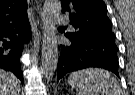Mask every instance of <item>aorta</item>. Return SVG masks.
Masks as SVG:
<instances>
[{
  "label": "aorta",
  "mask_w": 135,
  "mask_h": 95,
  "mask_svg": "<svg viewBox=\"0 0 135 95\" xmlns=\"http://www.w3.org/2000/svg\"><path fill=\"white\" fill-rule=\"evenodd\" d=\"M60 12V0H45L43 6L42 72L48 81L54 76L58 64V44L55 31Z\"/></svg>",
  "instance_id": "obj_1"
}]
</instances>
